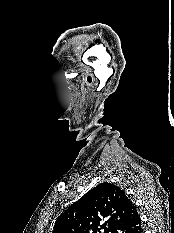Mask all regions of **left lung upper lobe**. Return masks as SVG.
Segmentation results:
<instances>
[{
	"mask_svg": "<svg viewBox=\"0 0 174 233\" xmlns=\"http://www.w3.org/2000/svg\"><path fill=\"white\" fill-rule=\"evenodd\" d=\"M136 214V205L125 192L105 182L69 206L52 233H118Z\"/></svg>",
	"mask_w": 174,
	"mask_h": 233,
	"instance_id": "5c2ea615",
	"label": "left lung upper lobe"
}]
</instances>
